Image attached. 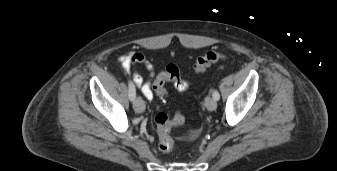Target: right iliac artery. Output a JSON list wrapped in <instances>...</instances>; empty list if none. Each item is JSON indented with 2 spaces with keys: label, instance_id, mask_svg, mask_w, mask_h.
Wrapping results in <instances>:
<instances>
[{
  "label": "right iliac artery",
  "instance_id": "1",
  "mask_svg": "<svg viewBox=\"0 0 337 171\" xmlns=\"http://www.w3.org/2000/svg\"><path fill=\"white\" fill-rule=\"evenodd\" d=\"M128 87H129V99L133 101L136 96V89L132 81L128 82Z\"/></svg>",
  "mask_w": 337,
  "mask_h": 171
}]
</instances>
